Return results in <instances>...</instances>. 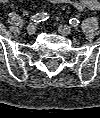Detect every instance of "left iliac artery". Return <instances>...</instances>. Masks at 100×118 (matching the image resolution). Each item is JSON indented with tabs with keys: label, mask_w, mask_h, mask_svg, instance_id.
I'll use <instances>...</instances> for the list:
<instances>
[{
	"label": "left iliac artery",
	"mask_w": 100,
	"mask_h": 118,
	"mask_svg": "<svg viewBox=\"0 0 100 118\" xmlns=\"http://www.w3.org/2000/svg\"><path fill=\"white\" fill-rule=\"evenodd\" d=\"M69 23L71 26L77 27L79 25L80 21L77 18H72L69 20Z\"/></svg>",
	"instance_id": "obj_1"
}]
</instances>
